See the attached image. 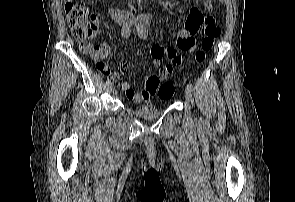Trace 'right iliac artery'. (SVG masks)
I'll use <instances>...</instances> for the list:
<instances>
[{"mask_svg": "<svg viewBox=\"0 0 295 202\" xmlns=\"http://www.w3.org/2000/svg\"><path fill=\"white\" fill-rule=\"evenodd\" d=\"M106 85L107 86L111 85V81L109 79L106 81Z\"/></svg>", "mask_w": 295, "mask_h": 202, "instance_id": "obj_1", "label": "right iliac artery"}]
</instances>
